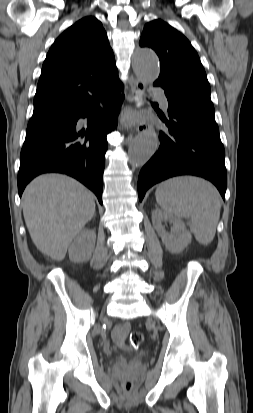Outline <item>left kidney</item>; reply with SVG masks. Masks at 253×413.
<instances>
[{
    "label": "left kidney",
    "instance_id": "1",
    "mask_svg": "<svg viewBox=\"0 0 253 413\" xmlns=\"http://www.w3.org/2000/svg\"><path fill=\"white\" fill-rule=\"evenodd\" d=\"M163 221L169 222L172 225L170 233L166 232L165 227L162 225ZM152 223L166 249L171 253L182 252L191 242V234L187 231L184 223L170 214L161 210H155L152 212Z\"/></svg>",
    "mask_w": 253,
    "mask_h": 413
}]
</instances>
